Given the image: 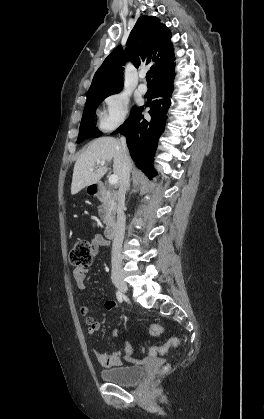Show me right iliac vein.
Wrapping results in <instances>:
<instances>
[{
  "mask_svg": "<svg viewBox=\"0 0 264 419\" xmlns=\"http://www.w3.org/2000/svg\"><path fill=\"white\" fill-rule=\"evenodd\" d=\"M113 282L115 286L123 293L126 294L128 287L126 283L122 280V278L118 275L113 276Z\"/></svg>",
  "mask_w": 264,
  "mask_h": 419,
  "instance_id": "1",
  "label": "right iliac vein"
}]
</instances>
